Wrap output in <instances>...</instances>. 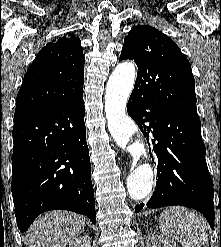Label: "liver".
<instances>
[{
    "label": "liver",
    "instance_id": "liver-1",
    "mask_svg": "<svg viewBox=\"0 0 221 247\" xmlns=\"http://www.w3.org/2000/svg\"><path fill=\"white\" fill-rule=\"evenodd\" d=\"M85 228L83 216L66 212H47L30 226L24 242L29 247H66Z\"/></svg>",
    "mask_w": 221,
    "mask_h": 247
}]
</instances>
